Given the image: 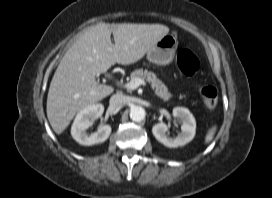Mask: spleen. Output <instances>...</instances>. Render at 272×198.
I'll return each instance as SVG.
<instances>
[{
	"label": "spleen",
	"instance_id": "3e777b00",
	"mask_svg": "<svg viewBox=\"0 0 272 198\" xmlns=\"http://www.w3.org/2000/svg\"><path fill=\"white\" fill-rule=\"evenodd\" d=\"M216 130H217V126L216 125L212 126L208 130V132L206 133V136H205V144H208V143H210L213 140L214 135L216 133Z\"/></svg>",
	"mask_w": 272,
	"mask_h": 198
}]
</instances>
